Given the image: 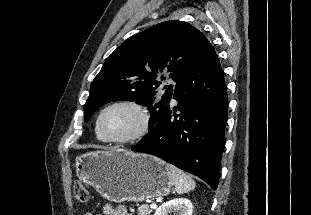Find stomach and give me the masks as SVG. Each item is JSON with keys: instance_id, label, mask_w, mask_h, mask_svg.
<instances>
[{"instance_id": "0dacf381", "label": "stomach", "mask_w": 311, "mask_h": 215, "mask_svg": "<svg viewBox=\"0 0 311 215\" xmlns=\"http://www.w3.org/2000/svg\"><path fill=\"white\" fill-rule=\"evenodd\" d=\"M75 167L81 181L117 203L161 198L173 186L164 161L124 149L82 154L76 158Z\"/></svg>"}]
</instances>
